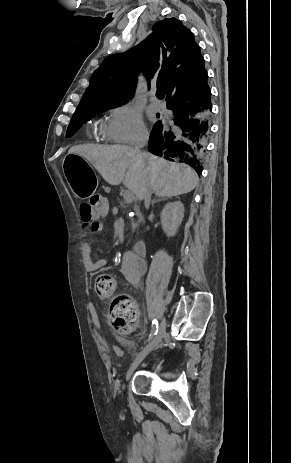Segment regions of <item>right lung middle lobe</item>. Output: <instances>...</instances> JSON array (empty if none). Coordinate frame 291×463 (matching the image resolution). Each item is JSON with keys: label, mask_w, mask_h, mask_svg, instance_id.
I'll list each match as a JSON object with an SVG mask.
<instances>
[{"label": "right lung middle lobe", "mask_w": 291, "mask_h": 463, "mask_svg": "<svg viewBox=\"0 0 291 463\" xmlns=\"http://www.w3.org/2000/svg\"><path fill=\"white\" fill-rule=\"evenodd\" d=\"M123 103L124 102L107 103L89 108L76 109L68 126L66 136L70 137L71 135H73L75 131L80 127V125L93 115L99 114Z\"/></svg>", "instance_id": "right-lung-middle-lobe-1"}]
</instances>
